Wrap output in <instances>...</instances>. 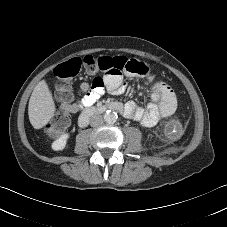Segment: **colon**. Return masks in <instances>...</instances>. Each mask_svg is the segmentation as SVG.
Listing matches in <instances>:
<instances>
[{
	"instance_id": "1",
	"label": "colon",
	"mask_w": 227,
	"mask_h": 227,
	"mask_svg": "<svg viewBox=\"0 0 227 227\" xmlns=\"http://www.w3.org/2000/svg\"><path fill=\"white\" fill-rule=\"evenodd\" d=\"M82 67L88 73L96 75L93 80L94 87L102 85V79L99 74L115 76L126 72L137 75H147L150 73V66L148 64L125 56L87 55L84 58H73L53 70L54 77L59 81V94L66 101V104L71 96V81L79 74ZM68 121V112L64 111L52 125L48 126L51 135L55 133V129L64 127Z\"/></svg>"
}]
</instances>
